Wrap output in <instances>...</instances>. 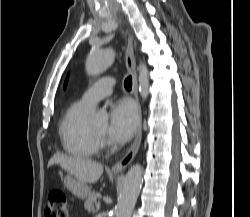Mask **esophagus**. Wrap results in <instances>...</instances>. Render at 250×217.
Here are the masks:
<instances>
[{"label": "esophagus", "instance_id": "obj_1", "mask_svg": "<svg viewBox=\"0 0 250 217\" xmlns=\"http://www.w3.org/2000/svg\"><path fill=\"white\" fill-rule=\"evenodd\" d=\"M125 61H126L127 70L132 76V93L135 97V100L138 106L140 123H139V128H138L134 142L132 143L128 152L118 162H116L113 165L112 167L113 172H121L130 165V163L133 161L135 155L137 154L139 150L141 139H142L141 106H140L139 96H138L137 71H136V61H135V56H134L133 37L131 35L128 36Z\"/></svg>", "mask_w": 250, "mask_h": 217}]
</instances>
